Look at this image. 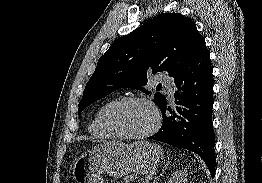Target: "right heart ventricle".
<instances>
[{"mask_svg":"<svg viewBox=\"0 0 262 183\" xmlns=\"http://www.w3.org/2000/svg\"><path fill=\"white\" fill-rule=\"evenodd\" d=\"M114 100H109L103 103L95 112L90 124L89 132L92 136L98 139H107L112 137L103 127L102 115L104 110L112 103Z\"/></svg>","mask_w":262,"mask_h":183,"instance_id":"1","label":"right heart ventricle"}]
</instances>
